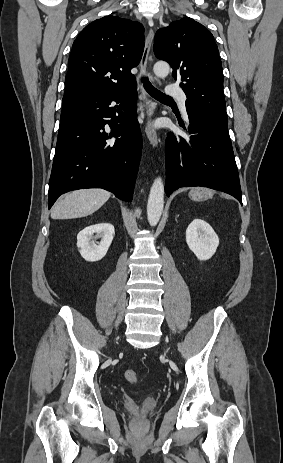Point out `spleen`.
I'll return each mask as SVG.
<instances>
[{"mask_svg": "<svg viewBox=\"0 0 283 463\" xmlns=\"http://www.w3.org/2000/svg\"><path fill=\"white\" fill-rule=\"evenodd\" d=\"M204 189H206V188H204ZM207 190H208V197H207V198L212 197V196H213V191H211V190H209V189H207Z\"/></svg>", "mask_w": 283, "mask_h": 463, "instance_id": "1", "label": "spleen"}]
</instances>
